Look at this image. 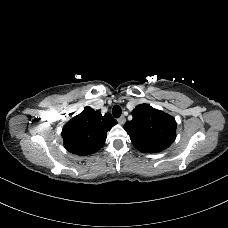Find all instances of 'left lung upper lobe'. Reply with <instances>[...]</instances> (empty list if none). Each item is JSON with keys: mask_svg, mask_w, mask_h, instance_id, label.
<instances>
[{"mask_svg": "<svg viewBox=\"0 0 228 228\" xmlns=\"http://www.w3.org/2000/svg\"><path fill=\"white\" fill-rule=\"evenodd\" d=\"M133 119L124 125L135 148L144 153H156L168 148L176 137L175 119L148 104L132 111Z\"/></svg>", "mask_w": 228, "mask_h": 228, "instance_id": "left-lung-upper-lobe-1", "label": "left lung upper lobe"}]
</instances>
